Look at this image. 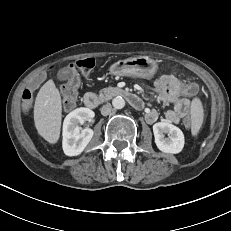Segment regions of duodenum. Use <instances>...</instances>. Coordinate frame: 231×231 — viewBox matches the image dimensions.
<instances>
[{
	"label": "duodenum",
	"mask_w": 231,
	"mask_h": 231,
	"mask_svg": "<svg viewBox=\"0 0 231 231\" xmlns=\"http://www.w3.org/2000/svg\"><path fill=\"white\" fill-rule=\"evenodd\" d=\"M105 95L107 97H123L137 110L144 108V102L141 97L127 89L110 87L105 91ZM83 101L89 109L97 108L100 103L99 97L93 92H87L83 97Z\"/></svg>",
	"instance_id": "410a0bca"
}]
</instances>
